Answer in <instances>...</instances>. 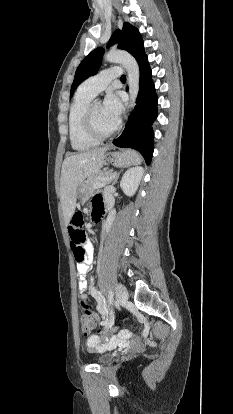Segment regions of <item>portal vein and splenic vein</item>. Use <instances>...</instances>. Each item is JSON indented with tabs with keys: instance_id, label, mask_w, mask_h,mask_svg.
Returning <instances> with one entry per match:
<instances>
[{
	"instance_id": "18ae733b",
	"label": "portal vein and splenic vein",
	"mask_w": 233,
	"mask_h": 414,
	"mask_svg": "<svg viewBox=\"0 0 233 414\" xmlns=\"http://www.w3.org/2000/svg\"><path fill=\"white\" fill-rule=\"evenodd\" d=\"M104 180L106 181L105 183H96V184H94V188L98 189V188H101V187L107 185L110 182L111 178H105Z\"/></svg>"
}]
</instances>
